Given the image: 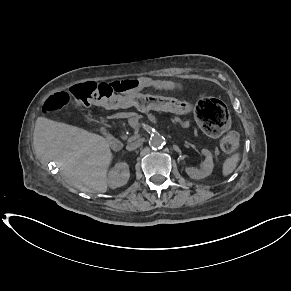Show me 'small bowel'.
<instances>
[{
    "mask_svg": "<svg viewBox=\"0 0 291 291\" xmlns=\"http://www.w3.org/2000/svg\"><path fill=\"white\" fill-rule=\"evenodd\" d=\"M127 81L131 85L130 95L138 94V91L144 87L146 88H153L157 90L163 91H173L179 90L181 86L170 80H154V79H131V80H124ZM119 108H122L121 106ZM171 113V112H169Z\"/></svg>",
    "mask_w": 291,
    "mask_h": 291,
    "instance_id": "obj_1",
    "label": "small bowel"
}]
</instances>
